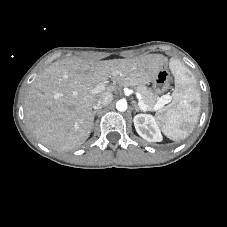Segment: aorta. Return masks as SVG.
Wrapping results in <instances>:
<instances>
[{
	"mask_svg": "<svg viewBox=\"0 0 227 227\" xmlns=\"http://www.w3.org/2000/svg\"><path fill=\"white\" fill-rule=\"evenodd\" d=\"M116 109L120 112H124L127 110V102L125 100H119L116 103Z\"/></svg>",
	"mask_w": 227,
	"mask_h": 227,
	"instance_id": "aorta-1",
	"label": "aorta"
}]
</instances>
